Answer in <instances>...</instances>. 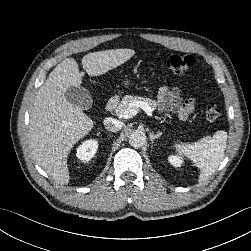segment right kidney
<instances>
[{
	"label": "right kidney",
	"instance_id": "1",
	"mask_svg": "<svg viewBox=\"0 0 251 251\" xmlns=\"http://www.w3.org/2000/svg\"><path fill=\"white\" fill-rule=\"evenodd\" d=\"M98 148V142L96 140H86L76 149V156L83 162L90 161Z\"/></svg>",
	"mask_w": 251,
	"mask_h": 251
}]
</instances>
